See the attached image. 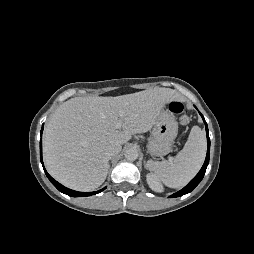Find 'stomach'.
Here are the masks:
<instances>
[{"instance_id": "0dacf381", "label": "stomach", "mask_w": 254, "mask_h": 254, "mask_svg": "<svg viewBox=\"0 0 254 254\" xmlns=\"http://www.w3.org/2000/svg\"><path fill=\"white\" fill-rule=\"evenodd\" d=\"M178 133V123L168 110L158 115L151 132L147 150L151 156H164L172 149L173 140Z\"/></svg>"}]
</instances>
